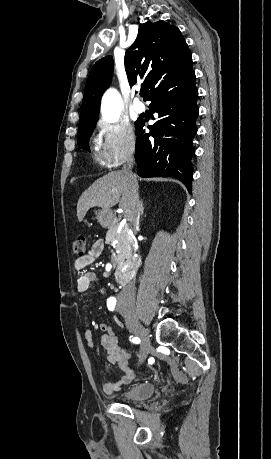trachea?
Returning <instances> with one entry per match:
<instances>
[{
  "label": "trachea",
  "instance_id": "obj_1",
  "mask_svg": "<svg viewBox=\"0 0 271 459\" xmlns=\"http://www.w3.org/2000/svg\"><path fill=\"white\" fill-rule=\"evenodd\" d=\"M145 90H146L145 88H141V92H140L141 97L145 96V94H146Z\"/></svg>",
  "mask_w": 271,
  "mask_h": 459
}]
</instances>
